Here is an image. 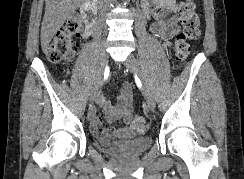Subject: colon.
Instances as JSON below:
<instances>
[{"mask_svg": "<svg viewBox=\"0 0 244 179\" xmlns=\"http://www.w3.org/2000/svg\"><path fill=\"white\" fill-rule=\"evenodd\" d=\"M179 21L182 30L175 39V59L177 64H183L190 53V41L199 36L200 17L195 10V4L191 0H183L178 8ZM81 21L77 17H71L58 31L52 41L47 57L53 64L59 65L71 60L77 53L75 38L81 31ZM133 127L137 132L146 130V125L141 117L133 118Z\"/></svg>", "mask_w": 244, "mask_h": 179, "instance_id": "colon-1", "label": "colon"}]
</instances>
